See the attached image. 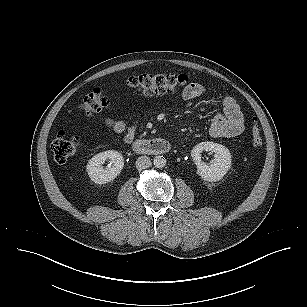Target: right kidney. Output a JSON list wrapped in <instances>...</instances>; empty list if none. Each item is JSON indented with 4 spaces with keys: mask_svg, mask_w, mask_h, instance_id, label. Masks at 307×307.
Instances as JSON below:
<instances>
[{
    "mask_svg": "<svg viewBox=\"0 0 307 307\" xmlns=\"http://www.w3.org/2000/svg\"><path fill=\"white\" fill-rule=\"evenodd\" d=\"M106 159H110L111 163L110 166L104 169L102 164ZM123 166L124 159L122 154L115 150H108L93 156L89 160L86 169L94 183L105 184L113 181L120 174Z\"/></svg>",
    "mask_w": 307,
    "mask_h": 307,
    "instance_id": "obj_1",
    "label": "right kidney"
}]
</instances>
